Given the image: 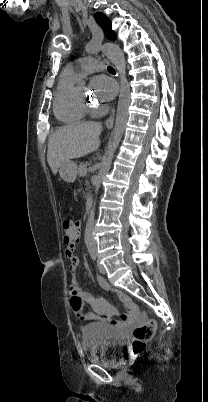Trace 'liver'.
I'll list each match as a JSON object with an SVG mask.
<instances>
[{
	"instance_id": "obj_1",
	"label": "liver",
	"mask_w": 208,
	"mask_h": 402,
	"mask_svg": "<svg viewBox=\"0 0 208 402\" xmlns=\"http://www.w3.org/2000/svg\"><path fill=\"white\" fill-rule=\"evenodd\" d=\"M101 128L99 122H76L54 132L47 150V162L53 174H57L61 164L68 160L82 158L98 150Z\"/></svg>"
}]
</instances>
